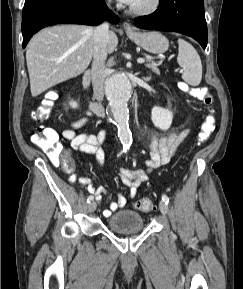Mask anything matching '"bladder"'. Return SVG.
<instances>
[{"instance_id": "obj_1", "label": "bladder", "mask_w": 243, "mask_h": 289, "mask_svg": "<svg viewBox=\"0 0 243 289\" xmlns=\"http://www.w3.org/2000/svg\"><path fill=\"white\" fill-rule=\"evenodd\" d=\"M107 225L118 233L140 231L144 228V218L135 211L121 210L109 216Z\"/></svg>"}]
</instances>
